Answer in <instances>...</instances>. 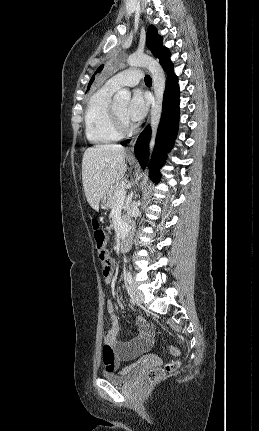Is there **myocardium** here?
<instances>
[{"instance_id":"f54148a6","label":"myocardium","mask_w":259,"mask_h":431,"mask_svg":"<svg viewBox=\"0 0 259 431\" xmlns=\"http://www.w3.org/2000/svg\"><path fill=\"white\" fill-rule=\"evenodd\" d=\"M111 117L115 130L120 134H129L134 130V127L126 123L121 116L116 112L114 106H111Z\"/></svg>"}]
</instances>
